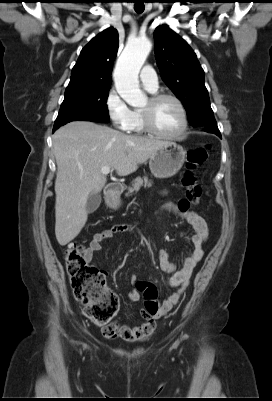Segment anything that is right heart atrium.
I'll return each instance as SVG.
<instances>
[{
  "label": "right heart atrium",
  "instance_id": "obj_1",
  "mask_svg": "<svg viewBox=\"0 0 272 401\" xmlns=\"http://www.w3.org/2000/svg\"><path fill=\"white\" fill-rule=\"evenodd\" d=\"M104 104L113 125L120 130L127 131L131 123L133 111L115 88H111L107 92Z\"/></svg>",
  "mask_w": 272,
  "mask_h": 401
}]
</instances>
